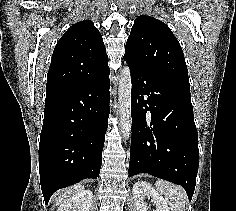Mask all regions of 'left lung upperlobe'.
<instances>
[{"label": "left lung upper lobe", "instance_id": "obj_1", "mask_svg": "<svg viewBox=\"0 0 236 211\" xmlns=\"http://www.w3.org/2000/svg\"><path fill=\"white\" fill-rule=\"evenodd\" d=\"M124 59L190 91L188 71L181 46L169 27L146 15L136 18L128 37Z\"/></svg>", "mask_w": 236, "mask_h": 211}]
</instances>
